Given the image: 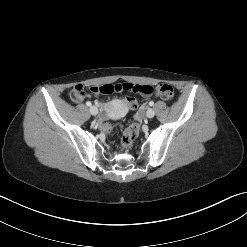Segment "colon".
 <instances>
[{
  "label": "colon",
  "mask_w": 247,
  "mask_h": 247,
  "mask_svg": "<svg viewBox=\"0 0 247 247\" xmlns=\"http://www.w3.org/2000/svg\"><path fill=\"white\" fill-rule=\"evenodd\" d=\"M90 90L93 93L100 94H112L114 92H136L141 94L143 97H159L165 101H171L174 98V89L171 85L162 83L157 86L142 84H131V83H115V84H104L98 86H92ZM85 95V87L82 84L76 85L72 91L71 96H83ZM124 107L127 110L132 109L136 111L139 108V101L131 95H128L124 101ZM101 129L109 133L112 131V124L105 122L101 125ZM140 132V125L138 122L129 125L123 132L122 145L125 148H129L133 145Z\"/></svg>",
  "instance_id": "obj_1"
}]
</instances>
